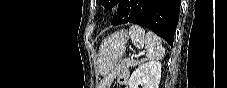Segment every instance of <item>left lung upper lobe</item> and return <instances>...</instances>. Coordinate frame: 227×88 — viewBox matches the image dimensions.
I'll return each mask as SVG.
<instances>
[{
	"instance_id": "1",
	"label": "left lung upper lobe",
	"mask_w": 227,
	"mask_h": 88,
	"mask_svg": "<svg viewBox=\"0 0 227 88\" xmlns=\"http://www.w3.org/2000/svg\"><path fill=\"white\" fill-rule=\"evenodd\" d=\"M122 0H99L100 4H102L106 9L111 10V8L117 4L120 3Z\"/></svg>"
}]
</instances>
